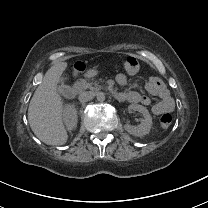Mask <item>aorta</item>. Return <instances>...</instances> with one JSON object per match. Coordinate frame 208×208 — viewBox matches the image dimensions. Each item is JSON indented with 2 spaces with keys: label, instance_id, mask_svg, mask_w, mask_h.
<instances>
[{
  "label": "aorta",
  "instance_id": "obj_1",
  "mask_svg": "<svg viewBox=\"0 0 208 208\" xmlns=\"http://www.w3.org/2000/svg\"><path fill=\"white\" fill-rule=\"evenodd\" d=\"M97 101L99 103H104L106 101V95L104 93H99L97 95Z\"/></svg>",
  "mask_w": 208,
  "mask_h": 208
}]
</instances>
